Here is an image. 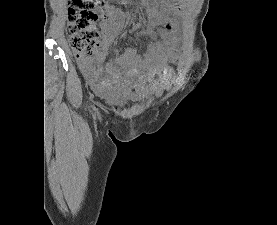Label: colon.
<instances>
[{"label":"colon","mask_w":277,"mask_h":225,"mask_svg":"<svg viewBox=\"0 0 277 225\" xmlns=\"http://www.w3.org/2000/svg\"><path fill=\"white\" fill-rule=\"evenodd\" d=\"M107 9L105 0H69L67 31L74 53L92 55L104 51L105 44L96 22Z\"/></svg>","instance_id":"5ec220e1"}]
</instances>
